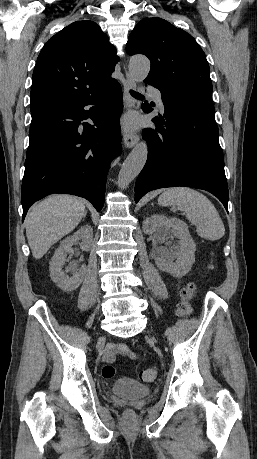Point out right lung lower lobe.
<instances>
[{
	"label": "right lung lower lobe",
	"instance_id": "right-lung-lower-lobe-1",
	"mask_svg": "<svg viewBox=\"0 0 257 459\" xmlns=\"http://www.w3.org/2000/svg\"><path fill=\"white\" fill-rule=\"evenodd\" d=\"M122 109L116 82L98 95L31 113L22 221L34 202L52 193L77 195L97 211L103 208L109 163L121 153ZM88 118L97 127L83 122Z\"/></svg>",
	"mask_w": 257,
	"mask_h": 459
}]
</instances>
